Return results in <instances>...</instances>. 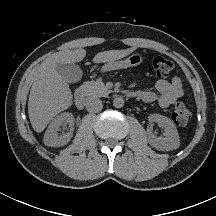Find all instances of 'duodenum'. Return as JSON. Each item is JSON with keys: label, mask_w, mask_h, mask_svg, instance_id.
Here are the masks:
<instances>
[{"label": "duodenum", "mask_w": 216, "mask_h": 216, "mask_svg": "<svg viewBox=\"0 0 216 216\" xmlns=\"http://www.w3.org/2000/svg\"><path fill=\"white\" fill-rule=\"evenodd\" d=\"M126 95L130 98L142 99L141 93L138 91H128ZM87 87L82 85L76 91V105L79 109H83L86 105Z\"/></svg>", "instance_id": "1"}]
</instances>
